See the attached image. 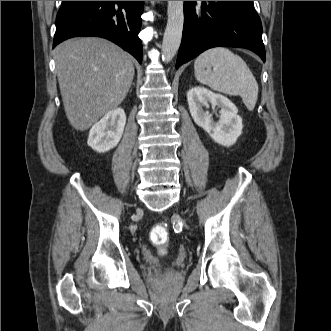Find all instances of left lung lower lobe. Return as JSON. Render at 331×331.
Here are the masks:
<instances>
[{
    "label": "left lung lower lobe",
    "mask_w": 331,
    "mask_h": 331,
    "mask_svg": "<svg viewBox=\"0 0 331 331\" xmlns=\"http://www.w3.org/2000/svg\"><path fill=\"white\" fill-rule=\"evenodd\" d=\"M184 14L176 68L218 46L249 49L265 62L262 24L253 1H184Z\"/></svg>",
    "instance_id": "left-lung-lower-lobe-1"
}]
</instances>
